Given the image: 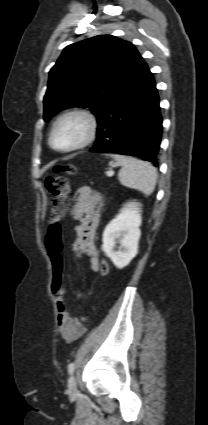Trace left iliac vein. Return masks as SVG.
<instances>
[{"label":"left iliac vein","mask_w":208,"mask_h":425,"mask_svg":"<svg viewBox=\"0 0 208 425\" xmlns=\"http://www.w3.org/2000/svg\"><path fill=\"white\" fill-rule=\"evenodd\" d=\"M68 390H69V395L71 397H76L77 396V393H78L77 382H76V379H75V377L73 375L69 378V381H68Z\"/></svg>","instance_id":"1"}]
</instances>
